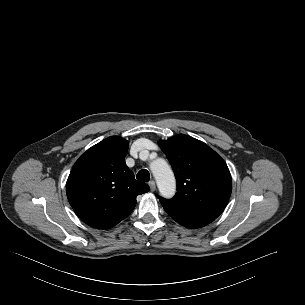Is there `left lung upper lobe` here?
<instances>
[{
  "label": "left lung upper lobe",
  "mask_w": 305,
  "mask_h": 305,
  "mask_svg": "<svg viewBox=\"0 0 305 305\" xmlns=\"http://www.w3.org/2000/svg\"><path fill=\"white\" fill-rule=\"evenodd\" d=\"M159 146L167 156L177 180L172 199L160 197L171 216L215 219L226 207L232 180L225 161L207 144L191 136L178 135Z\"/></svg>",
  "instance_id": "left-lung-upper-lobe-1"
}]
</instances>
